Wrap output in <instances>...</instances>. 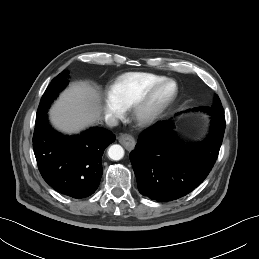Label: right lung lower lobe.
Returning <instances> with one entry per match:
<instances>
[{"label":"right lung lower lobe","instance_id":"obj_1","mask_svg":"<svg viewBox=\"0 0 259 259\" xmlns=\"http://www.w3.org/2000/svg\"><path fill=\"white\" fill-rule=\"evenodd\" d=\"M115 139L103 128L63 136L51 128L45 115L36 123L33 150L43 179L57 192L82 199L98 188L103 152Z\"/></svg>","mask_w":259,"mask_h":259}]
</instances>
